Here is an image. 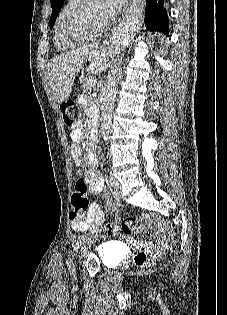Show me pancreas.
I'll use <instances>...</instances> for the list:
<instances>
[{"instance_id": "cf45deb5", "label": "pancreas", "mask_w": 227, "mask_h": 315, "mask_svg": "<svg viewBox=\"0 0 227 315\" xmlns=\"http://www.w3.org/2000/svg\"><path fill=\"white\" fill-rule=\"evenodd\" d=\"M91 75H81L80 76V83H81V88L83 90L84 93H91L92 92V88L94 86V84H89V79L91 78Z\"/></svg>"}]
</instances>
